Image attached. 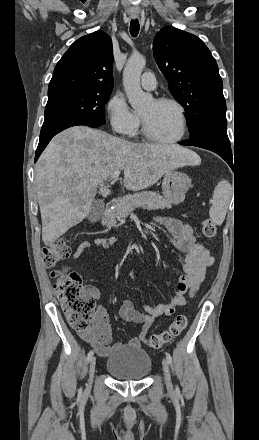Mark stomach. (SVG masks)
Masks as SVG:
<instances>
[{
	"mask_svg": "<svg viewBox=\"0 0 259 440\" xmlns=\"http://www.w3.org/2000/svg\"><path fill=\"white\" fill-rule=\"evenodd\" d=\"M191 186V179L188 175L178 171H170L164 174L162 191L166 200L174 205L182 203L185 194Z\"/></svg>",
	"mask_w": 259,
	"mask_h": 440,
	"instance_id": "0dacf381",
	"label": "stomach"
}]
</instances>
